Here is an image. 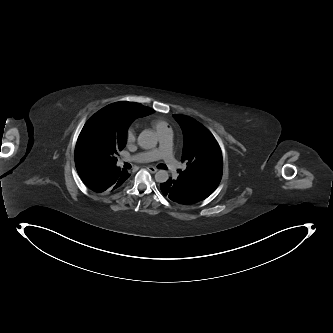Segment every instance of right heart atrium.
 I'll return each mask as SVG.
<instances>
[{
  "label": "right heart atrium",
  "instance_id": "1",
  "mask_svg": "<svg viewBox=\"0 0 333 333\" xmlns=\"http://www.w3.org/2000/svg\"><path fill=\"white\" fill-rule=\"evenodd\" d=\"M135 138H136L135 130L133 128H128L124 134V140L126 145H131L135 141Z\"/></svg>",
  "mask_w": 333,
  "mask_h": 333
}]
</instances>
